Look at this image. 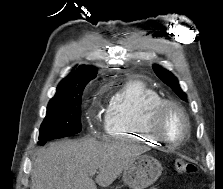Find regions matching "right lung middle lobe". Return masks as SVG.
<instances>
[{
	"label": "right lung middle lobe",
	"mask_w": 223,
	"mask_h": 189,
	"mask_svg": "<svg viewBox=\"0 0 223 189\" xmlns=\"http://www.w3.org/2000/svg\"><path fill=\"white\" fill-rule=\"evenodd\" d=\"M83 90L68 96H54L40 127L39 145L81 131V96Z\"/></svg>",
	"instance_id": "right-lung-middle-lobe-1"
}]
</instances>
